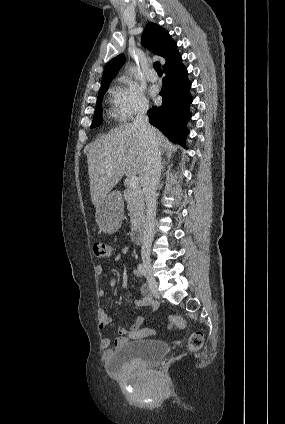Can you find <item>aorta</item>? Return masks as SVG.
Wrapping results in <instances>:
<instances>
[{"label": "aorta", "mask_w": 285, "mask_h": 424, "mask_svg": "<svg viewBox=\"0 0 285 424\" xmlns=\"http://www.w3.org/2000/svg\"><path fill=\"white\" fill-rule=\"evenodd\" d=\"M135 72H136V70H135V68H134V67H130V68H129V75H130V76H133V75L135 74Z\"/></svg>", "instance_id": "obj_1"}]
</instances>
